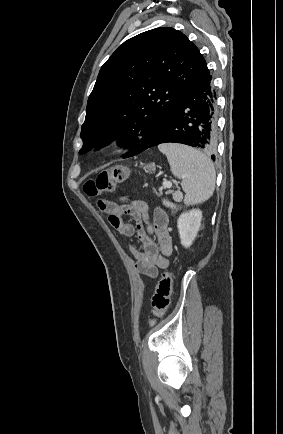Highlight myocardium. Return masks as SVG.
<instances>
[{
	"mask_svg": "<svg viewBox=\"0 0 283 434\" xmlns=\"http://www.w3.org/2000/svg\"><path fill=\"white\" fill-rule=\"evenodd\" d=\"M103 148L106 151H111L113 149V144L112 143H106Z\"/></svg>",
	"mask_w": 283,
	"mask_h": 434,
	"instance_id": "myocardium-1",
	"label": "myocardium"
}]
</instances>
